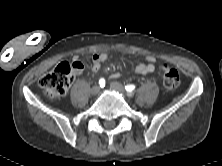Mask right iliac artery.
I'll list each match as a JSON object with an SVG mask.
<instances>
[{
	"instance_id": "right-iliac-artery-1",
	"label": "right iliac artery",
	"mask_w": 222,
	"mask_h": 166,
	"mask_svg": "<svg viewBox=\"0 0 222 166\" xmlns=\"http://www.w3.org/2000/svg\"><path fill=\"white\" fill-rule=\"evenodd\" d=\"M99 85H100V87H104L105 86V80L103 78H101L99 80Z\"/></svg>"
}]
</instances>
